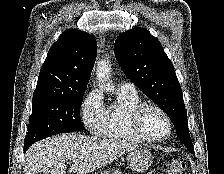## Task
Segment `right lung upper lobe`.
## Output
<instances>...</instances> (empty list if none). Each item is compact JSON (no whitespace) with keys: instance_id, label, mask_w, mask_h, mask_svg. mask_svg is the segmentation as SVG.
Masks as SVG:
<instances>
[{"instance_id":"right-lung-upper-lobe-1","label":"right lung upper lobe","mask_w":224,"mask_h":174,"mask_svg":"<svg viewBox=\"0 0 224 174\" xmlns=\"http://www.w3.org/2000/svg\"><path fill=\"white\" fill-rule=\"evenodd\" d=\"M96 54L92 35L75 29L63 32L41 67L33 97L84 94Z\"/></svg>"}]
</instances>
